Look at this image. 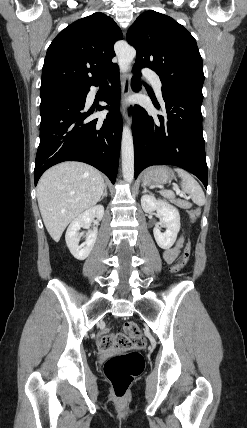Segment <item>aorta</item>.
<instances>
[{
	"instance_id": "obj_1",
	"label": "aorta",
	"mask_w": 247,
	"mask_h": 428,
	"mask_svg": "<svg viewBox=\"0 0 247 428\" xmlns=\"http://www.w3.org/2000/svg\"><path fill=\"white\" fill-rule=\"evenodd\" d=\"M135 55V49L127 44L117 49L118 65L122 72L128 71ZM121 156L123 178L131 182L134 178V144L131 130L126 125L122 131Z\"/></svg>"
}]
</instances>
